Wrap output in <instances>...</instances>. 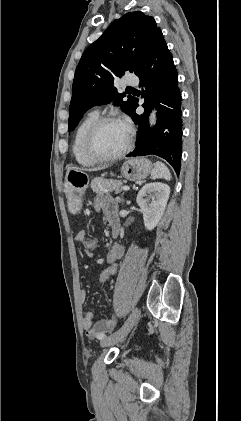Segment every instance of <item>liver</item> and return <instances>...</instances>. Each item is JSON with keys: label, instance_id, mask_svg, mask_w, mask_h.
Returning a JSON list of instances; mask_svg holds the SVG:
<instances>
[{"label": "liver", "instance_id": "6515ba94", "mask_svg": "<svg viewBox=\"0 0 241 421\" xmlns=\"http://www.w3.org/2000/svg\"><path fill=\"white\" fill-rule=\"evenodd\" d=\"M105 167H98V168H89V169H81V168H77V167H70V168H68V170H67V173H68V171H70V170H81V171H97V170H101V169H104Z\"/></svg>", "mask_w": 241, "mask_h": 421}]
</instances>
